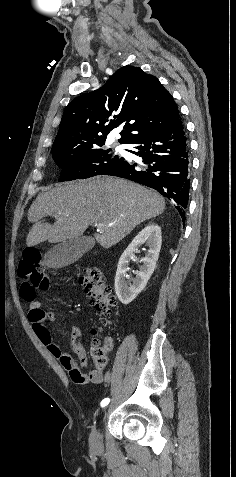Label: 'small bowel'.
Returning a JSON list of instances; mask_svg holds the SVG:
<instances>
[{
    "label": "small bowel",
    "mask_w": 236,
    "mask_h": 477,
    "mask_svg": "<svg viewBox=\"0 0 236 477\" xmlns=\"http://www.w3.org/2000/svg\"><path fill=\"white\" fill-rule=\"evenodd\" d=\"M29 321L31 322L32 329L38 339L46 346L49 352L57 358L63 368L68 372L72 381L77 384L86 383H101L108 380L110 372L103 375L100 371L92 370L88 373H83L78 366L77 360L82 367H86L88 359L86 350L83 345L80 344L79 338L84 332V328L80 326H74L70 333L72 352L64 350L53 339L49 323L56 320L54 312L45 311L41 302H32L29 305L28 313ZM105 352L108 354L113 349V341L111 338H106L103 344Z\"/></svg>",
    "instance_id": "1"
}]
</instances>
